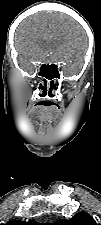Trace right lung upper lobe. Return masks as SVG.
I'll return each instance as SVG.
<instances>
[{
	"label": "right lung upper lobe",
	"instance_id": "obj_1",
	"mask_svg": "<svg viewBox=\"0 0 101 225\" xmlns=\"http://www.w3.org/2000/svg\"><path fill=\"white\" fill-rule=\"evenodd\" d=\"M6 225H39L35 221L30 220L28 222L20 221V220H10Z\"/></svg>",
	"mask_w": 101,
	"mask_h": 225
}]
</instances>
